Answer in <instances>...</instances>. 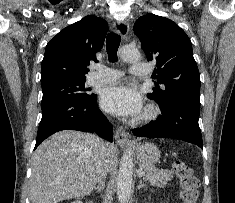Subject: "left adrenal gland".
Segmentation results:
<instances>
[{"label":"left adrenal gland","instance_id":"a2214340","mask_svg":"<svg viewBox=\"0 0 235 203\" xmlns=\"http://www.w3.org/2000/svg\"><path fill=\"white\" fill-rule=\"evenodd\" d=\"M144 186H146V184H144V183L142 182V180L140 179V180H139V185L137 186V188L140 189V188H142V187H144Z\"/></svg>","mask_w":235,"mask_h":203}]
</instances>
